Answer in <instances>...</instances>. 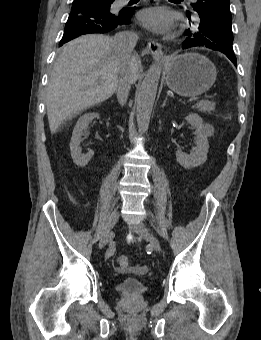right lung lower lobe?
Instances as JSON below:
<instances>
[{"label":"right lung lower lobe","mask_w":261,"mask_h":340,"mask_svg":"<svg viewBox=\"0 0 261 340\" xmlns=\"http://www.w3.org/2000/svg\"><path fill=\"white\" fill-rule=\"evenodd\" d=\"M114 0H74L60 41L64 43L87 33H104L130 24L134 8L114 9Z\"/></svg>","instance_id":"98d812e1"}]
</instances>
